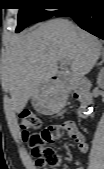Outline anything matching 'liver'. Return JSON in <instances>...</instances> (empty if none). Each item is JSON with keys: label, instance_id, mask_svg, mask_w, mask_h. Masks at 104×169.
<instances>
[{"label": "liver", "instance_id": "6515ba94", "mask_svg": "<svg viewBox=\"0 0 104 169\" xmlns=\"http://www.w3.org/2000/svg\"><path fill=\"white\" fill-rule=\"evenodd\" d=\"M102 51L97 37L66 19H51L18 35L3 73L14 111H23L36 91L57 74L61 60H67L73 75L81 78L91 71Z\"/></svg>", "mask_w": 104, "mask_h": 169}]
</instances>
